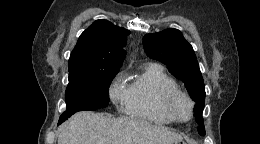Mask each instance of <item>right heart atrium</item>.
<instances>
[{
	"mask_svg": "<svg viewBox=\"0 0 260 144\" xmlns=\"http://www.w3.org/2000/svg\"><path fill=\"white\" fill-rule=\"evenodd\" d=\"M109 95L114 104L120 106L125 103L127 87L122 83L121 76L116 77L112 82L109 88Z\"/></svg>",
	"mask_w": 260,
	"mask_h": 144,
	"instance_id": "d8ad5b80",
	"label": "right heart atrium"
}]
</instances>
